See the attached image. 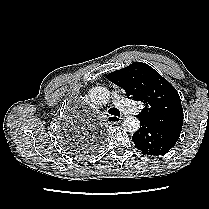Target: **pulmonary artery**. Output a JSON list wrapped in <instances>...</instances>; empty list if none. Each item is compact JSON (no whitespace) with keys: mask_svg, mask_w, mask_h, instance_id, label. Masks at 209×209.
I'll use <instances>...</instances> for the list:
<instances>
[{"mask_svg":"<svg viewBox=\"0 0 209 209\" xmlns=\"http://www.w3.org/2000/svg\"><path fill=\"white\" fill-rule=\"evenodd\" d=\"M114 104L122 109L126 113L133 114L136 112V107L133 105V103L123 96H121L119 93L114 92L112 95Z\"/></svg>","mask_w":209,"mask_h":209,"instance_id":"pulmonary-artery-1","label":"pulmonary artery"}]
</instances>
